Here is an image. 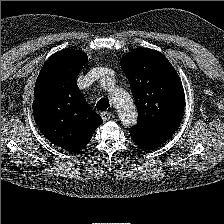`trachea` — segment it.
<instances>
[{"label": "trachea", "mask_w": 224, "mask_h": 224, "mask_svg": "<svg viewBox=\"0 0 224 224\" xmlns=\"http://www.w3.org/2000/svg\"><path fill=\"white\" fill-rule=\"evenodd\" d=\"M96 107L101 111L107 110L109 107V102L106 98H102L97 102Z\"/></svg>", "instance_id": "trachea-1"}]
</instances>
